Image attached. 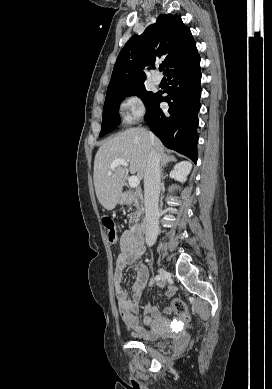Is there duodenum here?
<instances>
[{
	"label": "duodenum",
	"instance_id": "410a0bca",
	"mask_svg": "<svg viewBox=\"0 0 272 389\" xmlns=\"http://www.w3.org/2000/svg\"><path fill=\"white\" fill-rule=\"evenodd\" d=\"M136 195L132 192H124L120 198L122 204L130 203ZM129 237L133 244L142 245L144 243V224L140 222L136 224L130 231Z\"/></svg>",
	"mask_w": 272,
	"mask_h": 389
}]
</instances>
